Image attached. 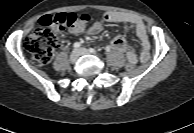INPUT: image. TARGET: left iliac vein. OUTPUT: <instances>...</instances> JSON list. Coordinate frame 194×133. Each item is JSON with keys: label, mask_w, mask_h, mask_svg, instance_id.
Listing matches in <instances>:
<instances>
[{"label": "left iliac vein", "mask_w": 194, "mask_h": 133, "mask_svg": "<svg viewBox=\"0 0 194 133\" xmlns=\"http://www.w3.org/2000/svg\"><path fill=\"white\" fill-rule=\"evenodd\" d=\"M80 55H86V54H91L90 50L86 49V48H80L78 50Z\"/></svg>", "instance_id": "obj_1"}]
</instances>
